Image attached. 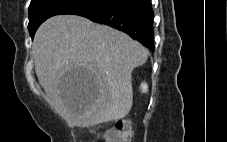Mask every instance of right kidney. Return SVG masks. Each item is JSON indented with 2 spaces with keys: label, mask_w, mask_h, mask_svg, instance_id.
I'll return each mask as SVG.
<instances>
[{
  "label": "right kidney",
  "mask_w": 227,
  "mask_h": 142,
  "mask_svg": "<svg viewBox=\"0 0 227 142\" xmlns=\"http://www.w3.org/2000/svg\"><path fill=\"white\" fill-rule=\"evenodd\" d=\"M140 88L142 89V92H147L148 90V86L146 83H142Z\"/></svg>",
  "instance_id": "1"
}]
</instances>
